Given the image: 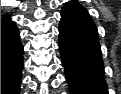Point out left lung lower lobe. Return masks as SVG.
Instances as JSON below:
<instances>
[{
  "label": "left lung lower lobe",
  "instance_id": "0a47b994",
  "mask_svg": "<svg viewBox=\"0 0 121 94\" xmlns=\"http://www.w3.org/2000/svg\"><path fill=\"white\" fill-rule=\"evenodd\" d=\"M59 48L71 94H108L98 31L89 14L63 6Z\"/></svg>",
  "mask_w": 121,
  "mask_h": 94
}]
</instances>
